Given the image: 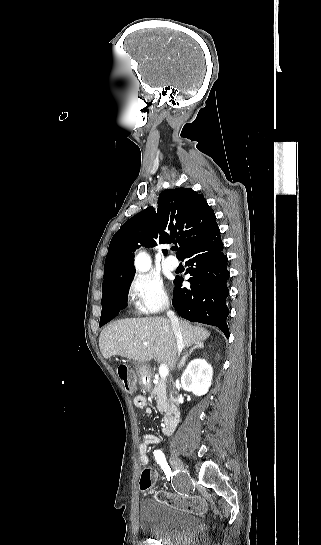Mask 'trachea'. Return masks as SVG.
I'll use <instances>...</instances> for the list:
<instances>
[{
	"label": "trachea",
	"mask_w": 321,
	"mask_h": 545,
	"mask_svg": "<svg viewBox=\"0 0 321 545\" xmlns=\"http://www.w3.org/2000/svg\"><path fill=\"white\" fill-rule=\"evenodd\" d=\"M173 250H178L177 246L172 247Z\"/></svg>",
	"instance_id": "obj_1"
}]
</instances>
